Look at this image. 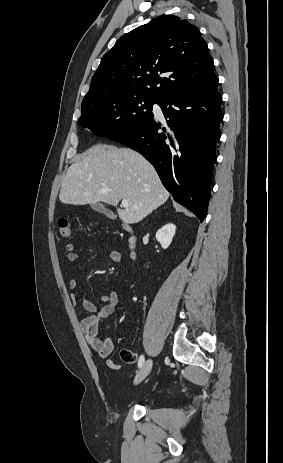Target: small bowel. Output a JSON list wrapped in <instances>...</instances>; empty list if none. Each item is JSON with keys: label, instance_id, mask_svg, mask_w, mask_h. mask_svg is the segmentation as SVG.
<instances>
[{"label": "small bowel", "instance_id": "1", "mask_svg": "<svg viewBox=\"0 0 283 463\" xmlns=\"http://www.w3.org/2000/svg\"><path fill=\"white\" fill-rule=\"evenodd\" d=\"M66 250L68 261L76 262L78 260V254L75 251L74 245L67 244ZM110 258L114 262H119L121 256L117 250H112L110 252ZM68 286L71 290L75 291L79 286L78 280L71 279L68 283ZM71 302L73 305H76V293L71 294ZM81 304L83 309L89 313V315L83 318L81 321V328L84 333L86 342L100 358L106 360L108 368L112 370H119L120 364L115 359L110 357L114 347L112 338L108 337L104 340H101L97 337L101 321L117 313L119 306V298L117 293L110 292L103 295L101 299V305L99 307L86 298H82ZM120 324V318L117 317L115 319V330L119 329Z\"/></svg>", "mask_w": 283, "mask_h": 463}]
</instances>
